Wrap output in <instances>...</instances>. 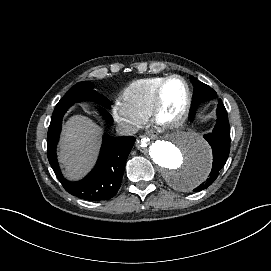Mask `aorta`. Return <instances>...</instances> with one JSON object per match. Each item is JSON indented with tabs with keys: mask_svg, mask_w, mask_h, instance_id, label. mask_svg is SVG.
Wrapping results in <instances>:
<instances>
[{
	"mask_svg": "<svg viewBox=\"0 0 271 271\" xmlns=\"http://www.w3.org/2000/svg\"><path fill=\"white\" fill-rule=\"evenodd\" d=\"M137 143L166 182L176 190L192 191L210 172L212 151L197 133L178 131L156 140L141 136Z\"/></svg>",
	"mask_w": 271,
	"mask_h": 271,
	"instance_id": "1",
	"label": "aorta"
}]
</instances>
